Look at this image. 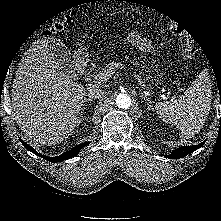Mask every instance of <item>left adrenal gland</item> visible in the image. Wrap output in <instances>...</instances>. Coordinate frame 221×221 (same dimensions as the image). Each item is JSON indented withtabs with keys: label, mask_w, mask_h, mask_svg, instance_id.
Masks as SVG:
<instances>
[{
	"label": "left adrenal gland",
	"mask_w": 221,
	"mask_h": 221,
	"mask_svg": "<svg viewBox=\"0 0 221 221\" xmlns=\"http://www.w3.org/2000/svg\"><path fill=\"white\" fill-rule=\"evenodd\" d=\"M139 95H141V97L144 98L145 101H147V105H148L147 109L153 110L150 99L147 96L143 95V93H139Z\"/></svg>",
	"instance_id": "left-adrenal-gland-1"
}]
</instances>
